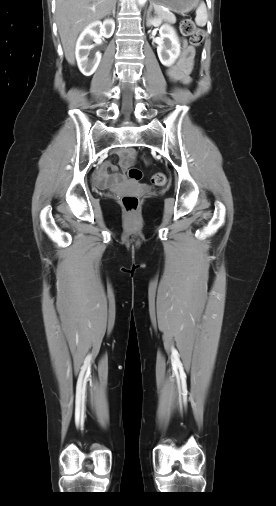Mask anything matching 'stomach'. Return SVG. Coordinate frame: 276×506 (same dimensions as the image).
Instances as JSON below:
<instances>
[{
    "label": "stomach",
    "instance_id": "obj_1",
    "mask_svg": "<svg viewBox=\"0 0 276 506\" xmlns=\"http://www.w3.org/2000/svg\"><path fill=\"white\" fill-rule=\"evenodd\" d=\"M156 7H166L177 13H187L194 9L199 0H152Z\"/></svg>",
    "mask_w": 276,
    "mask_h": 506
}]
</instances>
